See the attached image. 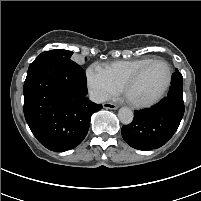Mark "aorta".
Here are the masks:
<instances>
[{"mask_svg": "<svg viewBox=\"0 0 201 201\" xmlns=\"http://www.w3.org/2000/svg\"><path fill=\"white\" fill-rule=\"evenodd\" d=\"M118 117L121 123L127 125L132 122L134 115L131 109L122 107L118 111Z\"/></svg>", "mask_w": 201, "mask_h": 201, "instance_id": "aorta-1", "label": "aorta"}]
</instances>
